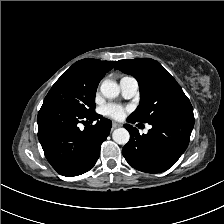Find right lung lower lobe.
<instances>
[{"label": "right lung lower lobe", "instance_id": "1", "mask_svg": "<svg viewBox=\"0 0 224 224\" xmlns=\"http://www.w3.org/2000/svg\"><path fill=\"white\" fill-rule=\"evenodd\" d=\"M86 120L98 121L80 130L79 123ZM37 122L38 138L47 160L59 174L68 177L81 175L95 165L112 124L97 113L81 116L52 105H42Z\"/></svg>", "mask_w": 224, "mask_h": 224}]
</instances>
